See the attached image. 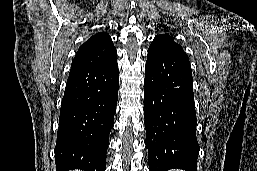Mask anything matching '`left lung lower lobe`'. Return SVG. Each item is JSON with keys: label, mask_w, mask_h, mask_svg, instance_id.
I'll use <instances>...</instances> for the list:
<instances>
[{"label": "left lung lower lobe", "mask_w": 257, "mask_h": 171, "mask_svg": "<svg viewBox=\"0 0 257 171\" xmlns=\"http://www.w3.org/2000/svg\"><path fill=\"white\" fill-rule=\"evenodd\" d=\"M149 171H197L192 72L181 48H149L144 79Z\"/></svg>", "instance_id": "1"}]
</instances>
